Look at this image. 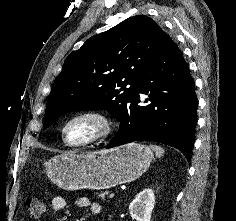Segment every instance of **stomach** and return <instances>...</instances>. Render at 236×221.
<instances>
[{
    "instance_id": "0dacf381",
    "label": "stomach",
    "mask_w": 236,
    "mask_h": 221,
    "mask_svg": "<svg viewBox=\"0 0 236 221\" xmlns=\"http://www.w3.org/2000/svg\"><path fill=\"white\" fill-rule=\"evenodd\" d=\"M153 159L149 147L129 143L86 154L66 152L45 164L50 180L68 191L109 189L139 178Z\"/></svg>"
}]
</instances>
